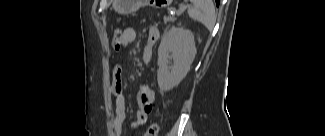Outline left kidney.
I'll return each mask as SVG.
<instances>
[{"label":"left kidney","mask_w":325,"mask_h":136,"mask_svg":"<svg viewBox=\"0 0 325 136\" xmlns=\"http://www.w3.org/2000/svg\"><path fill=\"white\" fill-rule=\"evenodd\" d=\"M195 55V39L190 30L173 26L164 34L158 48L157 81L161 91L173 89L184 79Z\"/></svg>","instance_id":"1"}]
</instances>
